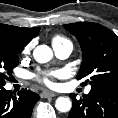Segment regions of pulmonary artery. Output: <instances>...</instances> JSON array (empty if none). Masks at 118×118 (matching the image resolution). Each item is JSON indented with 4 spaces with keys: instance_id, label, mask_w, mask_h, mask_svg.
Returning a JSON list of instances; mask_svg holds the SVG:
<instances>
[{
    "instance_id": "pulmonary-artery-1",
    "label": "pulmonary artery",
    "mask_w": 118,
    "mask_h": 118,
    "mask_svg": "<svg viewBox=\"0 0 118 118\" xmlns=\"http://www.w3.org/2000/svg\"><path fill=\"white\" fill-rule=\"evenodd\" d=\"M53 47L57 57L60 59L68 58L73 51V44L69 41L61 45H55ZM89 92H90V88H87L86 93Z\"/></svg>"
}]
</instances>
